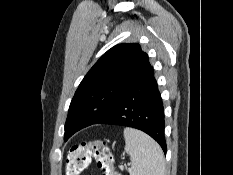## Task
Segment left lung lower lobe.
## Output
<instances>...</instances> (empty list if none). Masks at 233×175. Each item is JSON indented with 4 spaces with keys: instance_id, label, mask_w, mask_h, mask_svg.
<instances>
[{
    "instance_id": "obj_1",
    "label": "left lung lower lobe",
    "mask_w": 233,
    "mask_h": 175,
    "mask_svg": "<svg viewBox=\"0 0 233 175\" xmlns=\"http://www.w3.org/2000/svg\"><path fill=\"white\" fill-rule=\"evenodd\" d=\"M93 124H113L144 131L166 153L164 108L152 66L138 77Z\"/></svg>"
}]
</instances>
